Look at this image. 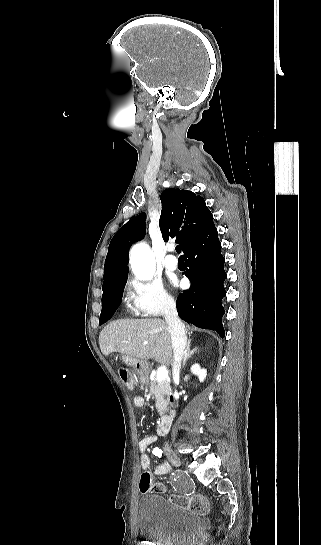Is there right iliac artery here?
<instances>
[{
    "label": "right iliac artery",
    "instance_id": "right-iliac-artery-1",
    "mask_svg": "<svg viewBox=\"0 0 321 545\" xmlns=\"http://www.w3.org/2000/svg\"><path fill=\"white\" fill-rule=\"evenodd\" d=\"M153 454L160 458L162 456V450L156 447L155 449H153Z\"/></svg>",
    "mask_w": 321,
    "mask_h": 545
}]
</instances>
